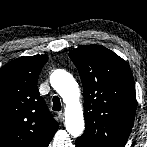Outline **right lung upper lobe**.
<instances>
[{"label":"right lung upper lobe","instance_id":"right-lung-upper-lobe-1","mask_svg":"<svg viewBox=\"0 0 147 147\" xmlns=\"http://www.w3.org/2000/svg\"><path fill=\"white\" fill-rule=\"evenodd\" d=\"M45 55L15 59L0 68V147H47L58 129L37 89Z\"/></svg>","mask_w":147,"mask_h":147}]
</instances>
